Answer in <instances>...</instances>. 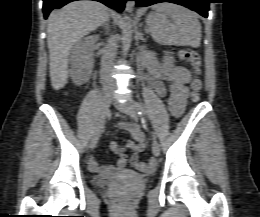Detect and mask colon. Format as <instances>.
Listing matches in <instances>:
<instances>
[{
	"instance_id": "colon-1",
	"label": "colon",
	"mask_w": 260,
	"mask_h": 217,
	"mask_svg": "<svg viewBox=\"0 0 260 217\" xmlns=\"http://www.w3.org/2000/svg\"><path fill=\"white\" fill-rule=\"evenodd\" d=\"M179 56L183 61L188 62L194 70V77L191 82V88H192L191 99H192V101H197L199 98V91L201 89V81L199 78L200 66H201L200 56L194 50L181 51ZM134 167L139 172H148L149 171L148 165L143 162H136L134 164ZM116 201L118 203H123V200H116Z\"/></svg>"
}]
</instances>
